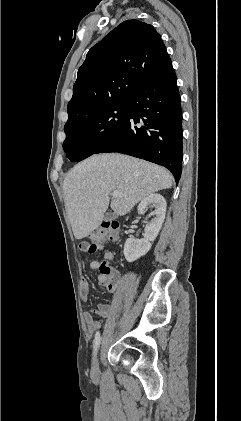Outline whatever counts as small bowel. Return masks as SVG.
<instances>
[{"mask_svg":"<svg viewBox=\"0 0 241 421\" xmlns=\"http://www.w3.org/2000/svg\"><path fill=\"white\" fill-rule=\"evenodd\" d=\"M97 251L103 253L106 261L113 259L112 252L100 245L97 247ZM90 269L100 271V263L96 260L90 262ZM98 282L100 285L106 287L109 292H115L120 283V274L118 271L112 269L111 275L107 276L101 271L98 274ZM79 293L83 301H86L89 294V283L87 279H83L80 282ZM111 312V306L109 304L101 303L95 310H87L84 312V320L87 329L90 333L97 332L101 328L103 319L107 318ZM95 315L99 316V319L95 318Z\"/></svg>","mask_w":241,"mask_h":421,"instance_id":"c3829d8e","label":"small bowel"}]
</instances>
